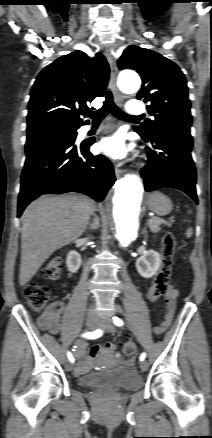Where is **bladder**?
<instances>
[{"instance_id":"obj_1","label":"bladder","mask_w":212,"mask_h":438,"mask_svg":"<svg viewBox=\"0 0 212 438\" xmlns=\"http://www.w3.org/2000/svg\"><path fill=\"white\" fill-rule=\"evenodd\" d=\"M83 387L110 385L121 390H135L141 386V379L134 369L123 367L103 372H94L79 378Z\"/></svg>"}]
</instances>
